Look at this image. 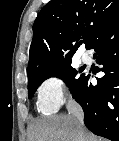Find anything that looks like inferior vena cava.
<instances>
[{
    "label": "inferior vena cava",
    "mask_w": 119,
    "mask_h": 141,
    "mask_svg": "<svg viewBox=\"0 0 119 141\" xmlns=\"http://www.w3.org/2000/svg\"><path fill=\"white\" fill-rule=\"evenodd\" d=\"M67 110L72 115L80 127H84V113L81 106L72 98L68 100Z\"/></svg>",
    "instance_id": "602c4592"
}]
</instances>
